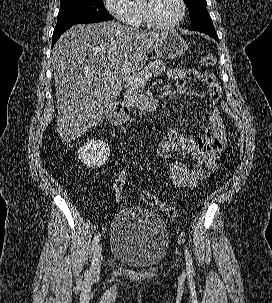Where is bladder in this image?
Returning <instances> with one entry per match:
<instances>
[{
  "instance_id": "bladder-1",
  "label": "bladder",
  "mask_w": 272,
  "mask_h": 303,
  "mask_svg": "<svg viewBox=\"0 0 272 303\" xmlns=\"http://www.w3.org/2000/svg\"><path fill=\"white\" fill-rule=\"evenodd\" d=\"M109 235L112 257L138 269L160 264L169 249L166 223L156 212L143 207L119 210L110 223Z\"/></svg>"
}]
</instances>
